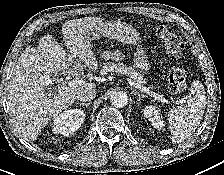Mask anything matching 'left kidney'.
<instances>
[{
  "label": "left kidney",
  "instance_id": "1",
  "mask_svg": "<svg viewBox=\"0 0 224 175\" xmlns=\"http://www.w3.org/2000/svg\"><path fill=\"white\" fill-rule=\"evenodd\" d=\"M145 117L152 123V125L157 129H162L164 122L161 120L159 110L155 106L148 105L144 109Z\"/></svg>",
  "mask_w": 224,
  "mask_h": 175
}]
</instances>
